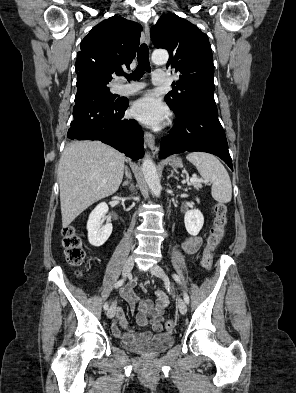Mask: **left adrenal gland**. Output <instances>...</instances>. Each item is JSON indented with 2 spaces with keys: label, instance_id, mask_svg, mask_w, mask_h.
I'll use <instances>...</instances> for the list:
<instances>
[{
  "label": "left adrenal gland",
  "instance_id": "1",
  "mask_svg": "<svg viewBox=\"0 0 296 393\" xmlns=\"http://www.w3.org/2000/svg\"><path fill=\"white\" fill-rule=\"evenodd\" d=\"M170 177H174L175 179L178 180V177H176V176L174 175V171H171V173H170V175L167 177V179H170Z\"/></svg>",
  "mask_w": 296,
  "mask_h": 393
}]
</instances>
